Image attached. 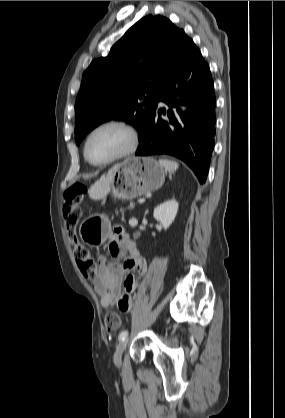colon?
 <instances>
[{
  "label": "colon",
  "instance_id": "obj_1",
  "mask_svg": "<svg viewBox=\"0 0 285 418\" xmlns=\"http://www.w3.org/2000/svg\"><path fill=\"white\" fill-rule=\"evenodd\" d=\"M84 186L75 184L64 192V202L62 214L68 231V239L74 245V257L83 276L93 279L97 275V264L91 256L88 248L80 243L77 225L80 219L79 200L84 193ZM121 229H116V234L121 233ZM120 326L119 314L114 310H108L105 315V327L108 331L117 330Z\"/></svg>",
  "mask_w": 285,
  "mask_h": 418
}]
</instances>
